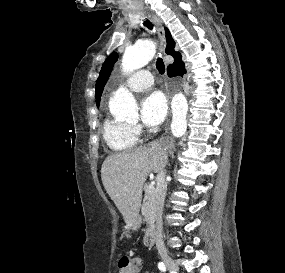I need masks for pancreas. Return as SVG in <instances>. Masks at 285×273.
<instances>
[{"label": "pancreas", "instance_id": "obj_1", "mask_svg": "<svg viewBox=\"0 0 285 273\" xmlns=\"http://www.w3.org/2000/svg\"><path fill=\"white\" fill-rule=\"evenodd\" d=\"M155 189H150L149 187L145 190L144 200L142 204V215L145 217V220L149 222L155 213Z\"/></svg>", "mask_w": 285, "mask_h": 273}]
</instances>
